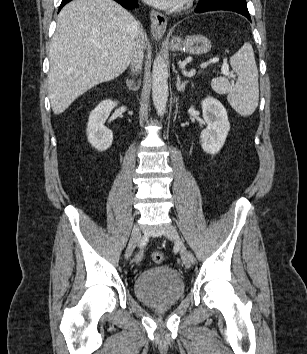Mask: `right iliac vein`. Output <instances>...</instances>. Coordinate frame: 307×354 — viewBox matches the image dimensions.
<instances>
[{
    "instance_id": "63e3f726",
    "label": "right iliac vein",
    "mask_w": 307,
    "mask_h": 354,
    "mask_svg": "<svg viewBox=\"0 0 307 354\" xmlns=\"http://www.w3.org/2000/svg\"><path fill=\"white\" fill-rule=\"evenodd\" d=\"M140 240H141L140 229L139 226L135 224L132 229L131 237L125 252V259H128L132 255L136 245L140 242Z\"/></svg>"
}]
</instances>
